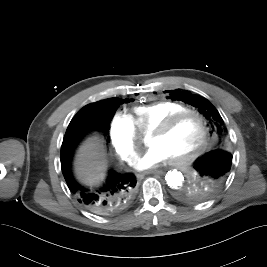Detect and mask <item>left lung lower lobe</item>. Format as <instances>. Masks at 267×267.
<instances>
[{"mask_svg": "<svg viewBox=\"0 0 267 267\" xmlns=\"http://www.w3.org/2000/svg\"><path fill=\"white\" fill-rule=\"evenodd\" d=\"M234 169L232 155L217 151L188 164L184 177L190 183L179 197L185 201L206 200L225 183Z\"/></svg>", "mask_w": 267, "mask_h": 267, "instance_id": "0a47b994", "label": "left lung lower lobe"}]
</instances>
